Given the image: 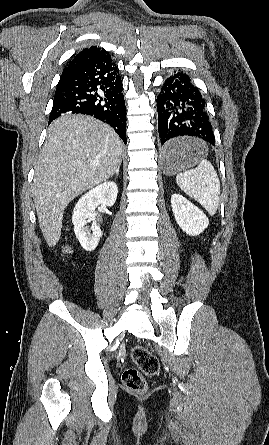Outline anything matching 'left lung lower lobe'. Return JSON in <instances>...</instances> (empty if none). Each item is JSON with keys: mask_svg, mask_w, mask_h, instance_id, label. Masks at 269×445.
Returning <instances> with one entry per match:
<instances>
[{"mask_svg": "<svg viewBox=\"0 0 269 445\" xmlns=\"http://www.w3.org/2000/svg\"><path fill=\"white\" fill-rule=\"evenodd\" d=\"M156 101L164 154L178 152L179 141L186 137L214 145L215 137L205 100L189 76L178 72L167 78Z\"/></svg>", "mask_w": 269, "mask_h": 445, "instance_id": "left-lung-lower-lobe-1", "label": "left lung lower lobe"}]
</instances>
